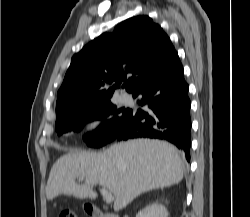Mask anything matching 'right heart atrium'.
Returning a JSON list of instances; mask_svg holds the SVG:
<instances>
[{"mask_svg":"<svg viewBox=\"0 0 250 217\" xmlns=\"http://www.w3.org/2000/svg\"><path fill=\"white\" fill-rule=\"evenodd\" d=\"M103 119L100 116H90L84 121V130L89 135H97L103 130Z\"/></svg>","mask_w":250,"mask_h":217,"instance_id":"1","label":"right heart atrium"}]
</instances>
